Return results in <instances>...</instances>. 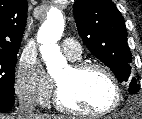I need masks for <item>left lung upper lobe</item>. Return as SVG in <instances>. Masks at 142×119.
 I'll return each mask as SVG.
<instances>
[{
	"label": "left lung upper lobe",
	"mask_w": 142,
	"mask_h": 119,
	"mask_svg": "<svg viewBox=\"0 0 142 119\" xmlns=\"http://www.w3.org/2000/svg\"><path fill=\"white\" fill-rule=\"evenodd\" d=\"M73 14L79 35L89 51L109 67L119 82H130V94L139 91L131 76V52L124 19L111 0H76Z\"/></svg>",
	"instance_id": "obj_1"
}]
</instances>
